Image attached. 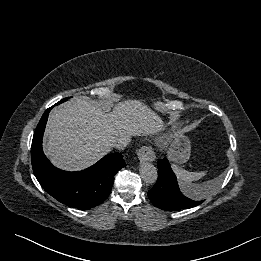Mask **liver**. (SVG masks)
<instances>
[{
    "mask_svg": "<svg viewBox=\"0 0 261 261\" xmlns=\"http://www.w3.org/2000/svg\"><path fill=\"white\" fill-rule=\"evenodd\" d=\"M163 120L140 100L119 102L112 113L81 97L59 105L49 115L44 150L58 168L85 169L108 154L116 139L156 134Z\"/></svg>",
    "mask_w": 261,
    "mask_h": 261,
    "instance_id": "1",
    "label": "liver"
}]
</instances>
